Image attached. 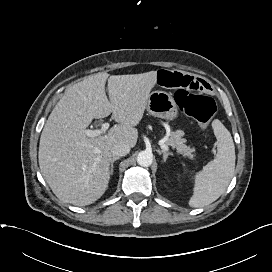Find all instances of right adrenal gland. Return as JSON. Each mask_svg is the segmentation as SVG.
<instances>
[{"label":"right adrenal gland","instance_id":"2a0ac1e0","mask_svg":"<svg viewBox=\"0 0 272 272\" xmlns=\"http://www.w3.org/2000/svg\"><path fill=\"white\" fill-rule=\"evenodd\" d=\"M119 159V157H113L111 159V164H110V174L112 175L114 172V162L117 161Z\"/></svg>","mask_w":272,"mask_h":272}]
</instances>
